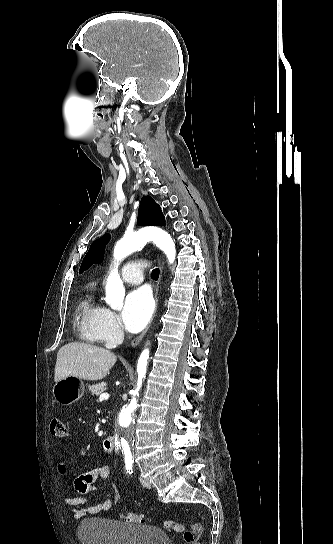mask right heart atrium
I'll return each instance as SVG.
<instances>
[{"label": "right heart atrium", "instance_id": "1", "mask_svg": "<svg viewBox=\"0 0 333 544\" xmlns=\"http://www.w3.org/2000/svg\"><path fill=\"white\" fill-rule=\"evenodd\" d=\"M98 330L101 341L107 345L115 344L123 336V331L118 316L107 308H103L101 312L98 322Z\"/></svg>", "mask_w": 333, "mask_h": 544}]
</instances>
